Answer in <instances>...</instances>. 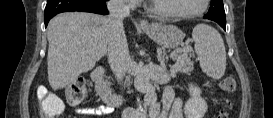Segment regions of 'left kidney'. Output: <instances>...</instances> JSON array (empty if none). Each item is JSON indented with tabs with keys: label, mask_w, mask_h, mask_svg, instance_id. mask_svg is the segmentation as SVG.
Wrapping results in <instances>:
<instances>
[{
	"label": "left kidney",
	"mask_w": 273,
	"mask_h": 118,
	"mask_svg": "<svg viewBox=\"0 0 273 118\" xmlns=\"http://www.w3.org/2000/svg\"><path fill=\"white\" fill-rule=\"evenodd\" d=\"M191 98L185 103L184 113L186 118H203L208 106L204 99L201 98V90L193 84L189 85Z\"/></svg>",
	"instance_id": "1"
}]
</instances>
